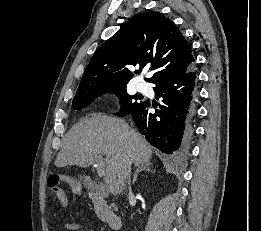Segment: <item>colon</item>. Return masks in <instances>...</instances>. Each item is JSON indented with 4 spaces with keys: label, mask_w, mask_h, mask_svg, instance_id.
I'll use <instances>...</instances> for the list:
<instances>
[{
    "label": "colon",
    "mask_w": 261,
    "mask_h": 231,
    "mask_svg": "<svg viewBox=\"0 0 261 231\" xmlns=\"http://www.w3.org/2000/svg\"><path fill=\"white\" fill-rule=\"evenodd\" d=\"M55 193H56L57 195H59V191H58V189H55Z\"/></svg>",
    "instance_id": "1"
}]
</instances>
